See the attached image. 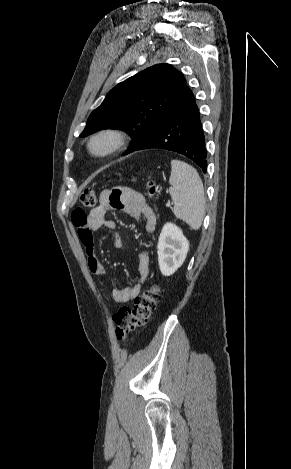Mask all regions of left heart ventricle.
Instances as JSON below:
<instances>
[{
  "instance_id": "b2bd125f",
  "label": "left heart ventricle",
  "mask_w": 291,
  "mask_h": 469,
  "mask_svg": "<svg viewBox=\"0 0 291 469\" xmlns=\"http://www.w3.org/2000/svg\"><path fill=\"white\" fill-rule=\"evenodd\" d=\"M107 146L108 141L106 139H101L93 145V148L95 151H103Z\"/></svg>"
}]
</instances>
